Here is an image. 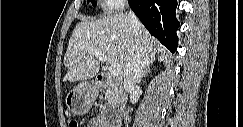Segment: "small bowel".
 Instances as JSON below:
<instances>
[{"instance_id": "c3829d8e", "label": "small bowel", "mask_w": 243, "mask_h": 127, "mask_svg": "<svg viewBox=\"0 0 243 127\" xmlns=\"http://www.w3.org/2000/svg\"><path fill=\"white\" fill-rule=\"evenodd\" d=\"M89 126H90V127H102V126L100 125V119H97V118L92 119V120L90 121V123H89Z\"/></svg>"}]
</instances>
